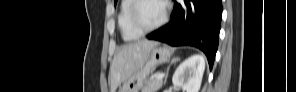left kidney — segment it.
Wrapping results in <instances>:
<instances>
[{
  "label": "left kidney",
  "instance_id": "1",
  "mask_svg": "<svg viewBox=\"0 0 296 92\" xmlns=\"http://www.w3.org/2000/svg\"><path fill=\"white\" fill-rule=\"evenodd\" d=\"M205 70V59L202 55L195 54L185 59L175 70L173 85L183 92H199Z\"/></svg>",
  "mask_w": 296,
  "mask_h": 92
}]
</instances>
